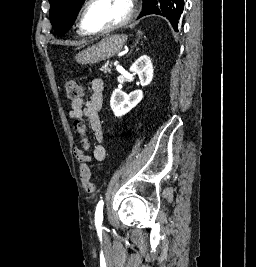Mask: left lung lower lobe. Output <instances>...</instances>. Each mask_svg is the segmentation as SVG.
Segmentation results:
<instances>
[{
	"instance_id": "0a47b994",
	"label": "left lung lower lobe",
	"mask_w": 256,
	"mask_h": 267,
	"mask_svg": "<svg viewBox=\"0 0 256 267\" xmlns=\"http://www.w3.org/2000/svg\"><path fill=\"white\" fill-rule=\"evenodd\" d=\"M184 8V0H174V19L171 23L175 31H178V19L180 18V14L182 13Z\"/></svg>"
}]
</instances>
